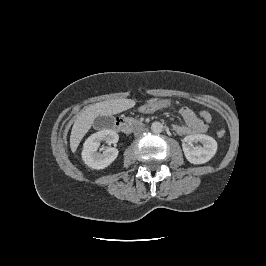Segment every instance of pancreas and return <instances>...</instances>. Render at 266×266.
Segmentation results:
<instances>
[{
    "mask_svg": "<svg viewBox=\"0 0 266 266\" xmlns=\"http://www.w3.org/2000/svg\"><path fill=\"white\" fill-rule=\"evenodd\" d=\"M133 122H134V123H138V121H136V120H133Z\"/></svg>",
    "mask_w": 266,
    "mask_h": 266,
    "instance_id": "1",
    "label": "pancreas"
}]
</instances>
